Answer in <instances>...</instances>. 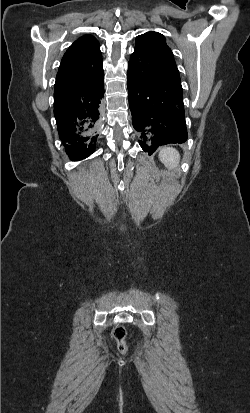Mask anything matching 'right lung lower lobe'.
Returning a JSON list of instances; mask_svg holds the SVG:
<instances>
[{
    "mask_svg": "<svg viewBox=\"0 0 250 413\" xmlns=\"http://www.w3.org/2000/svg\"><path fill=\"white\" fill-rule=\"evenodd\" d=\"M103 95V69L87 83L55 88L54 115L59 137L73 161L82 160L95 151Z\"/></svg>",
    "mask_w": 250,
    "mask_h": 413,
    "instance_id": "98d812e1",
    "label": "right lung lower lobe"
}]
</instances>
